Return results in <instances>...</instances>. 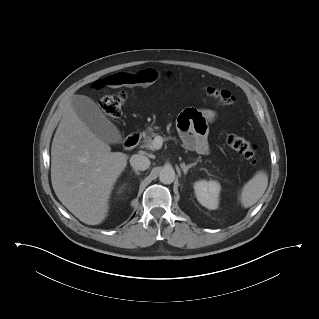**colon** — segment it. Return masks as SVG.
<instances>
[{"label":"colon","mask_w":319,"mask_h":319,"mask_svg":"<svg viewBox=\"0 0 319 319\" xmlns=\"http://www.w3.org/2000/svg\"><path fill=\"white\" fill-rule=\"evenodd\" d=\"M120 83L127 82L126 77L118 76ZM205 93L214 99L220 106H231L234 104L235 98L231 92L213 87H206ZM127 99V94L120 91L114 95L103 96L99 105L101 110L110 118H119L122 114L123 107ZM226 143L235 151L240 153L249 163L255 164L257 161V147L235 133L225 134Z\"/></svg>","instance_id":"5ec220e1"}]
</instances>
